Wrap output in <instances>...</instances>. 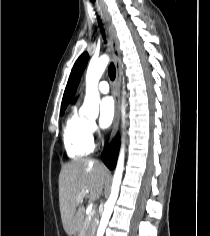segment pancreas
<instances>
[{
	"label": "pancreas",
	"mask_w": 210,
	"mask_h": 236,
	"mask_svg": "<svg viewBox=\"0 0 210 236\" xmlns=\"http://www.w3.org/2000/svg\"><path fill=\"white\" fill-rule=\"evenodd\" d=\"M89 216L90 214L85 218V221H84V225H83L84 233H88V232L92 233L94 229L96 228V219L93 216L92 218H89Z\"/></svg>",
	"instance_id": "cf45deb5"
}]
</instances>
